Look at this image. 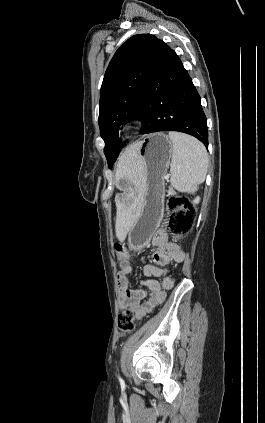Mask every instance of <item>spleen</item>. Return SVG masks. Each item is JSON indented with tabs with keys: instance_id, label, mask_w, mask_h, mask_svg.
<instances>
[{
	"instance_id": "spleen-1",
	"label": "spleen",
	"mask_w": 265,
	"mask_h": 423,
	"mask_svg": "<svg viewBox=\"0 0 265 423\" xmlns=\"http://www.w3.org/2000/svg\"><path fill=\"white\" fill-rule=\"evenodd\" d=\"M173 144L171 185L179 192L194 194L207 174L208 154L197 139L179 132H169Z\"/></svg>"
}]
</instances>
